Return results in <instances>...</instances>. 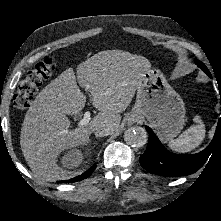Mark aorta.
<instances>
[{
  "instance_id": "1",
  "label": "aorta",
  "mask_w": 221,
  "mask_h": 221,
  "mask_svg": "<svg viewBox=\"0 0 221 221\" xmlns=\"http://www.w3.org/2000/svg\"><path fill=\"white\" fill-rule=\"evenodd\" d=\"M124 141L134 147H142L147 142V132L142 127H131L124 132Z\"/></svg>"
}]
</instances>
